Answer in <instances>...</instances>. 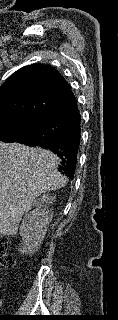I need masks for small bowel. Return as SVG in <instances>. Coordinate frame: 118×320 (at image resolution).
<instances>
[{
	"label": "small bowel",
	"mask_w": 118,
	"mask_h": 320,
	"mask_svg": "<svg viewBox=\"0 0 118 320\" xmlns=\"http://www.w3.org/2000/svg\"><path fill=\"white\" fill-rule=\"evenodd\" d=\"M1 307H2V300L0 299V309H1Z\"/></svg>",
	"instance_id": "1"
}]
</instances>
